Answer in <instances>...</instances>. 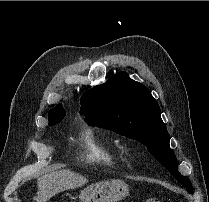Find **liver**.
Instances as JSON below:
<instances>
[{
  "mask_svg": "<svg viewBox=\"0 0 209 202\" xmlns=\"http://www.w3.org/2000/svg\"><path fill=\"white\" fill-rule=\"evenodd\" d=\"M87 182V178L70 170L51 172L37 179L38 192L33 199L46 202L60 192L81 187Z\"/></svg>",
  "mask_w": 209,
  "mask_h": 202,
  "instance_id": "1",
  "label": "liver"
}]
</instances>
